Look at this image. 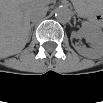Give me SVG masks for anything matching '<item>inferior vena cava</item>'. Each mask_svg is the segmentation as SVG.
<instances>
[{
  "instance_id": "obj_1",
  "label": "inferior vena cava",
  "mask_w": 103,
  "mask_h": 103,
  "mask_svg": "<svg viewBox=\"0 0 103 103\" xmlns=\"http://www.w3.org/2000/svg\"><path fill=\"white\" fill-rule=\"evenodd\" d=\"M46 15L45 11L42 9L31 11L29 14L31 21L41 20Z\"/></svg>"
}]
</instances>
